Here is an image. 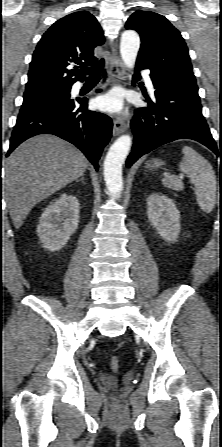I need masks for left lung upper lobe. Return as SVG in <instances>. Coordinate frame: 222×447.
I'll list each match as a JSON object with an SVG mask.
<instances>
[{
  "label": "left lung upper lobe",
  "instance_id": "left-lung-upper-lobe-1",
  "mask_svg": "<svg viewBox=\"0 0 222 447\" xmlns=\"http://www.w3.org/2000/svg\"><path fill=\"white\" fill-rule=\"evenodd\" d=\"M126 29L140 34L141 47L137 62L188 91L198 95V87L180 32L162 15L149 11H136L126 22Z\"/></svg>",
  "mask_w": 222,
  "mask_h": 447
}]
</instances>
